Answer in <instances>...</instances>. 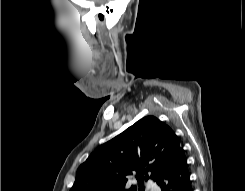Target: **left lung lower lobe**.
Returning a JSON list of instances; mask_svg holds the SVG:
<instances>
[{
    "mask_svg": "<svg viewBox=\"0 0 245 191\" xmlns=\"http://www.w3.org/2000/svg\"><path fill=\"white\" fill-rule=\"evenodd\" d=\"M161 191H193L185 152H179L173 163L156 180Z\"/></svg>",
    "mask_w": 245,
    "mask_h": 191,
    "instance_id": "left-lung-lower-lobe-1",
    "label": "left lung lower lobe"
}]
</instances>
